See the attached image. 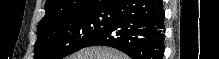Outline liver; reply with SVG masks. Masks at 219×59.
Returning <instances> with one entry per match:
<instances>
[{
  "label": "liver",
  "mask_w": 219,
  "mask_h": 59,
  "mask_svg": "<svg viewBox=\"0 0 219 59\" xmlns=\"http://www.w3.org/2000/svg\"><path fill=\"white\" fill-rule=\"evenodd\" d=\"M67 59H129L127 55L113 48L89 47L84 48Z\"/></svg>",
  "instance_id": "liver-1"
}]
</instances>
